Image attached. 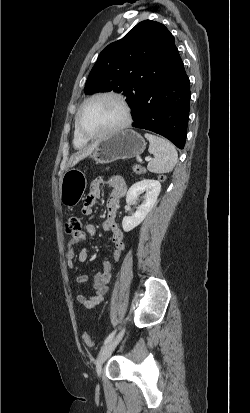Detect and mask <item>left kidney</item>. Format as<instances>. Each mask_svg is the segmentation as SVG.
Masks as SVG:
<instances>
[{
  "label": "left kidney",
  "instance_id": "left-kidney-1",
  "mask_svg": "<svg viewBox=\"0 0 250 413\" xmlns=\"http://www.w3.org/2000/svg\"><path fill=\"white\" fill-rule=\"evenodd\" d=\"M161 191V184L157 180L144 179L133 184L126 195V202L137 200L138 196L145 193L144 200L132 216H125L122 220V228L129 232L137 227L146 218L156 203Z\"/></svg>",
  "mask_w": 250,
  "mask_h": 413
}]
</instances>
